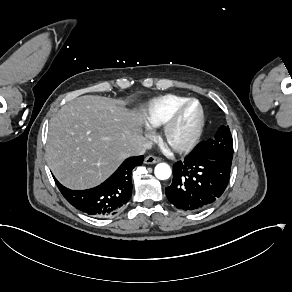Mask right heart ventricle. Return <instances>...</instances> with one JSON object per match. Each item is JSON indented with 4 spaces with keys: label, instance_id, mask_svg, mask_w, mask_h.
Instances as JSON below:
<instances>
[{
    "label": "right heart ventricle",
    "instance_id": "right-heart-ventricle-1",
    "mask_svg": "<svg viewBox=\"0 0 292 292\" xmlns=\"http://www.w3.org/2000/svg\"><path fill=\"white\" fill-rule=\"evenodd\" d=\"M188 98L178 94H165L149 101L144 110V119L148 124L161 126L171 112Z\"/></svg>",
    "mask_w": 292,
    "mask_h": 292
}]
</instances>
